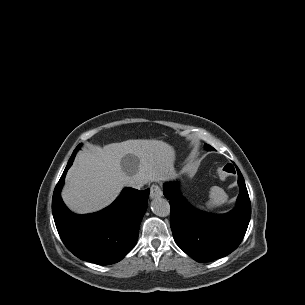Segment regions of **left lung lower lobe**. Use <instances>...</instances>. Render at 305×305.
<instances>
[{
    "label": "left lung lower lobe",
    "mask_w": 305,
    "mask_h": 305,
    "mask_svg": "<svg viewBox=\"0 0 305 305\" xmlns=\"http://www.w3.org/2000/svg\"><path fill=\"white\" fill-rule=\"evenodd\" d=\"M240 205L231 213L212 215L189 205L172 187L165 186L170 200L171 229L177 245L200 262H208L231 253L247 230L251 204L245 182L239 172Z\"/></svg>",
    "instance_id": "obj_1"
}]
</instances>
